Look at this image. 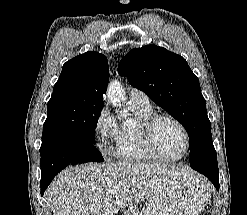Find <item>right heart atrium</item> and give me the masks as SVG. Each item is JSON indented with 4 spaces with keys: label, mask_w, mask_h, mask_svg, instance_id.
<instances>
[{
    "label": "right heart atrium",
    "mask_w": 247,
    "mask_h": 215,
    "mask_svg": "<svg viewBox=\"0 0 247 215\" xmlns=\"http://www.w3.org/2000/svg\"><path fill=\"white\" fill-rule=\"evenodd\" d=\"M119 131L116 119L108 108H101L95 119L94 134L103 155L109 156L114 153V144L118 140Z\"/></svg>",
    "instance_id": "right-heart-atrium-1"
}]
</instances>
